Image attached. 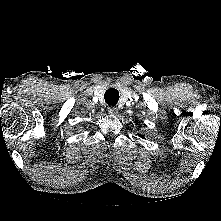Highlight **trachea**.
Wrapping results in <instances>:
<instances>
[{
    "mask_svg": "<svg viewBox=\"0 0 221 221\" xmlns=\"http://www.w3.org/2000/svg\"><path fill=\"white\" fill-rule=\"evenodd\" d=\"M104 98L108 105L115 106L119 100V92L115 88H110L105 92Z\"/></svg>",
    "mask_w": 221,
    "mask_h": 221,
    "instance_id": "3493384b",
    "label": "trachea"
}]
</instances>
